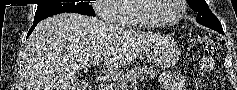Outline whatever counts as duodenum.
I'll return each mask as SVG.
<instances>
[{
  "label": "duodenum",
  "instance_id": "1",
  "mask_svg": "<svg viewBox=\"0 0 237 90\" xmlns=\"http://www.w3.org/2000/svg\"><path fill=\"white\" fill-rule=\"evenodd\" d=\"M99 90H113L112 87H99Z\"/></svg>",
  "mask_w": 237,
  "mask_h": 90
}]
</instances>
